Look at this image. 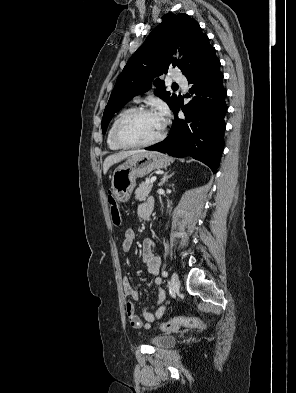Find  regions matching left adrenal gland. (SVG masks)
I'll list each match as a JSON object with an SVG mask.
<instances>
[{
	"mask_svg": "<svg viewBox=\"0 0 296 393\" xmlns=\"http://www.w3.org/2000/svg\"><path fill=\"white\" fill-rule=\"evenodd\" d=\"M174 175V173H172V174H168V172H166L164 175H163V177H162V179H161V181H160V183H159V187L160 186H162L165 182H167L168 181V179H170L172 176Z\"/></svg>",
	"mask_w": 296,
	"mask_h": 393,
	"instance_id": "obj_1",
	"label": "left adrenal gland"
}]
</instances>
